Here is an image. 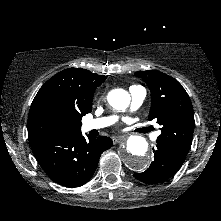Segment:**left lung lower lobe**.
I'll use <instances>...</instances> for the list:
<instances>
[{
  "label": "left lung lower lobe",
  "mask_w": 221,
  "mask_h": 221,
  "mask_svg": "<svg viewBox=\"0 0 221 221\" xmlns=\"http://www.w3.org/2000/svg\"><path fill=\"white\" fill-rule=\"evenodd\" d=\"M154 161L143 173H135L133 176L147 184H157L172 177L182 165L176 163L172 157L161 147L153 148Z\"/></svg>",
  "instance_id": "1"
}]
</instances>
